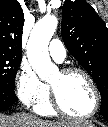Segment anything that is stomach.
<instances>
[{
	"mask_svg": "<svg viewBox=\"0 0 108 127\" xmlns=\"http://www.w3.org/2000/svg\"><path fill=\"white\" fill-rule=\"evenodd\" d=\"M82 127H95V125L94 124H91L89 126H82Z\"/></svg>",
	"mask_w": 108,
	"mask_h": 127,
	"instance_id": "stomach-1",
	"label": "stomach"
}]
</instances>
